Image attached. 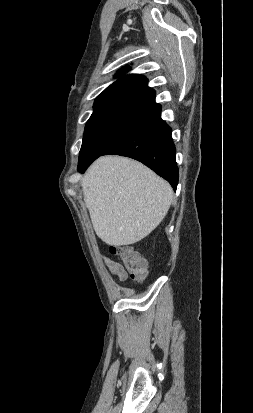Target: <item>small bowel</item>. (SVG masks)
Listing matches in <instances>:
<instances>
[{
	"instance_id": "1",
	"label": "small bowel",
	"mask_w": 253,
	"mask_h": 413,
	"mask_svg": "<svg viewBox=\"0 0 253 413\" xmlns=\"http://www.w3.org/2000/svg\"><path fill=\"white\" fill-rule=\"evenodd\" d=\"M102 260L112 275L116 276L120 281L127 279V272L121 263L104 255H102Z\"/></svg>"
}]
</instances>
